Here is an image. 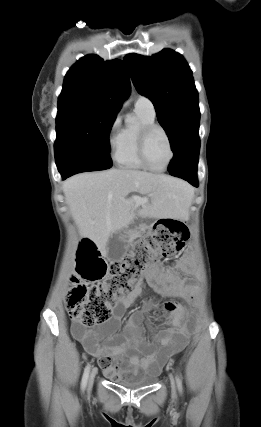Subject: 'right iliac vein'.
<instances>
[{
  "mask_svg": "<svg viewBox=\"0 0 261 427\" xmlns=\"http://www.w3.org/2000/svg\"><path fill=\"white\" fill-rule=\"evenodd\" d=\"M96 373H97V370H96V369H93V370H92V372L90 373V376H89V379H88V387H89V388H91V387H92V385H93V382H94V378H95Z\"/></svg>",
  "mask_w": 261,
  "mask_h": 427,
  "instance_id": "63e3f726",
  "label": "right iliac vein"
}]
</instances>
